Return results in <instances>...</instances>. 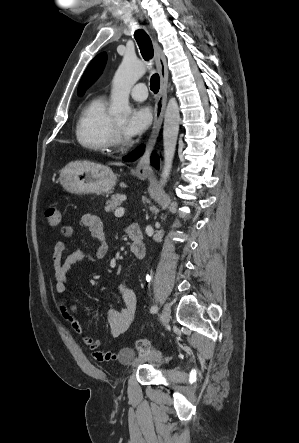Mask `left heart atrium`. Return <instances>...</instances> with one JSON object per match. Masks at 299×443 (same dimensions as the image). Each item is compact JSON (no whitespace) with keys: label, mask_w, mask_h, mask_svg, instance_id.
Segmentation results:
<instances>
[{"label":"left heart atrium","mask_w":299,"mask_h":443,"mask_svg":"<svg viewBox=\"0 0 299 443\" xmlns=\"http://www.w3.org/2000/svg\"><path fill=\"white\" fill-rule=\"evenodd\" d=\"M152 122V113L147 106L135 107L123 126L126 137L131 138L144 133Z\"/></svg>","instance_id":"obj_1"}]
</instances>
